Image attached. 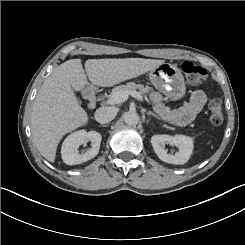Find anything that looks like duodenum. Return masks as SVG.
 I'll list each match as a JSON object with an SVG mask.
<instances>
[{
  "label": "duodenum",
  "instance_id": "obj_1",
  "mask_svg": "<svg viewBox=\"0 0 245 245\" xmlns=\"http://www.w3.org/2000/svg\"><path fill=\"white\" fill-rule=\"evenodd\" d=\"M88 93H89V107L93 108L96 102L95 95L92 90H89Z\"/></svg>",
  "mask_w": 245,
  "mask_h": 245
}]
</instances>
